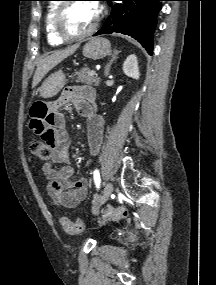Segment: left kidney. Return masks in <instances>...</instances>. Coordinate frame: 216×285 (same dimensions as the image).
I'll list each match as a JSON object with an SVG mask.
<instances>
[{"label": "left kidney", "mask_w": 216, "mask_h": 285, "mask_svg": "<svg viewBox=\"0 0 216 285\" xmlns=\"http://www.w3.org/2000/svg\"><path fill=\"white\" fill-rule=\"evenodd\" d=\"M123 72L125 75L133 79L139 78L140 73H139L138 61L137 57L134 54L129 55L126 58L123 64Z\"/></svg>", "instance_id": "obj_1"}]
</instances>
